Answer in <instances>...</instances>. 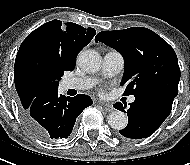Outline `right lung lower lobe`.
Returning <instances> with one entry per match:
<instances>
[{"instance_id":"right-lung-lower-lobe-1","label":"right lung lower lobe","mask_w":190,"mask_h":165,"mask_svg":"<svg viewBox=\"0 0 190 165\" xmlns=\"http://www.w3.org/2000/svg\"><path fill=\"white\" fill-rule=\"evenodd\" d=\"M91 105L92 100L88 95L78 94L66 98L53 89L40 93L26 109L21 108V115L36 136L51 141L67 138L76 118Z\"/></svg>"}]
</instances>
